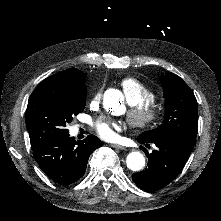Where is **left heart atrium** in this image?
<instances>
[{
	"mask_svg": "<svg viewBox=\"0 0 221 221\" xmlns=\"http://www.w3.org/2000/svg\"><path fill=\"white\" fill-rule=\"evenodd\" d=\"M118 127L117 122L108 119H99L95 122L94 130L103 140L116 142L119 140L117 134Z\"/></svg>",
	"mask_w": 221,
	"mask_h": 221,
	"instance_id": "left-heart-atrium-1",
	"label": "left heart atrium"
}]
</instances>
